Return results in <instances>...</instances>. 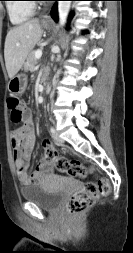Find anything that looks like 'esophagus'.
<instances>
[{"mask_svg": "<svg viewBox=\"0 0 133 253\" xmlns=\"http://www.w3.org/2000/svg\"><path fill=\"white\" fill-rule=\"evenodd\" d=\"M42 18H43V20H49L50 16L48 14H45Z\"/></svg>", "mask_w": 133, "mask_h": 253, "instance_id": "1", "label": "esophagus"}]
</instances>
